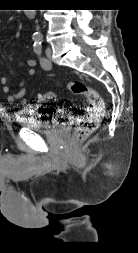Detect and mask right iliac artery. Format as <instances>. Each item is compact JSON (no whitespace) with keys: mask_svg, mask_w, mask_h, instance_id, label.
<instances>
[{"mask_svg":"<svg viewBox=\"0 0 138 253\" xmlns=\"http://www.w3.org/2000/svg\"><path fill=\"white\" fill-rule=\"evenodd\" d=\"M34 40H35V42H38V41H39V38H38V37H35Z\"/></svg>","mask_w":138,"mask_h":253,"instance_id":"82829eb1","label":"right iliac artery"}]
</instances>
